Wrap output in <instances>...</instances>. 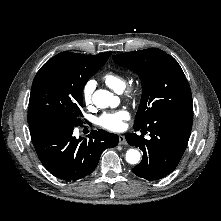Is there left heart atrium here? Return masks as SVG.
<instances>
[{
    "label": "left heart atrium",
    "instance_id": "39dd6f15",
    "mask_svg": "<svg viewBox=\"0 0 221 221\" xmlns=\"http://www.w3.org/2000/svg\"><path fill=\"white\" fill-rule=\"evenodd\" d=\"M129 118V113L124 110L103 113L98 118V124L110 131H120L124 128V122Z\"/></svg>",
    "mask_w": 221,
    "mask_h": 221
}]
</instances>
